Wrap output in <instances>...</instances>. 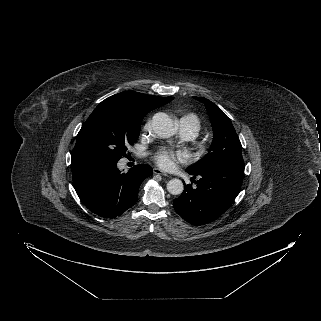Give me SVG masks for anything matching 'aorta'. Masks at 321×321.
Wrapping results in <instances>:
<instances>
[{"label":"aorta","mask_w":321,"mask_h":321,"mask_svg":"<svg viewBox=\"0 0 321 321\" xmlns=\"http://www.w3.org/2000/svg\"><path fill=\"white\" fill-rule=\"evenodd\" d=\"M152 128L156 135L161 138H170L176 133L172 119L163 112L156 113L152 118ZM184 186L180 179L174 178L167 183V190L172 195L183 192Z\"/></svg>","instance_id":"obj_1"}]
</instances>
